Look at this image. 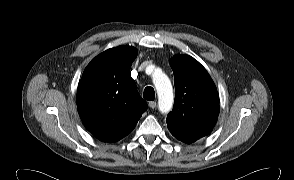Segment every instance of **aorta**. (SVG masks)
<instances>
[{
    "instance_id": "762f6f07",
    "label": "aorta",
    "mask_w": 294,
    "mask_h": 180,
    "mask_svg": "<svg viewBox=\"0 0 294 180\" xmlns=\"http://www.w3.org/2000/svg\"><path fill=\"white\" fill-rule=\"evenodd\" d=\"M153 83L158 95V108L162 113L172 109L174 102L173 88L170 79L160 69L153 75Z\"/></svg>"
}]
</instances>
